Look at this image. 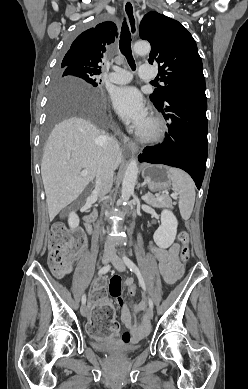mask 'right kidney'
I'll list each match as a JSON object with an SVG mask.
<instances>
[{"label": "right kidney", "instance_id": "right-kidney-1", "mask_svg": "<svg viewBox=\"0 0 248 389\" xmlns=\"http://www.w3.org/2000/svg\"><path fill=\"white\" fill-rule=\"evenodd\" d=\"M79 222L80 220L78 215L75 212H71L68 217V224L70 228L72 229L77 228L79 226Z\"/></svg>", "mask_w": 248, "mask_h": 389}]
</instances>
